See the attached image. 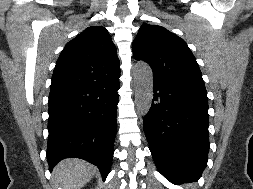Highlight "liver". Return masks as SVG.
Returning a JSON list of instances; mask_svg holds the SVG:
<instances>
[{"mask_svg":"<svg viewBox=\"0 0 253 189\" xmlns=\"http://www.w3.org/2000/svg\"><path fill=\"white\" fill-rule=\"evenodd\" d=\"M95 167L88 162L69 158L61 161L54 169L53 177L56 184L63 189H81L94 176Z\"/></svg>","mask_w":253,"mask_h":189,"instance_id":"liver-1","label":"liver"}]
</instances>
